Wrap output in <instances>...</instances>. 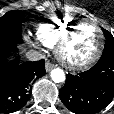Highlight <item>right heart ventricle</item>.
I'll list each match as a JSON object with an SVG mask.
<instances>
[{
	"label": "right heart ventricle",
	"mask_w": 114,
	"mask_h": 114,
	"mask_svg": "<svg viewBox=\"0 0 114 114\" xmlns=\"http://www.w3.org/2000/svg\"><path fill=\"white\" fill-rule=\"evenodd\" d=\"M75 21L76 18L73 16H62L43 22L36 28V39L42 45L54 48Z\"/></svg>",
	"instance_id": "e07e8e85"
}]
</instances>
